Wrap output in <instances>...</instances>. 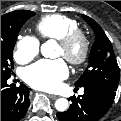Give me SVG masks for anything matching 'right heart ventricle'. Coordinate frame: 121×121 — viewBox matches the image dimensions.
<instances>
[{"mask_svg": "<svg viewBox=\"0 0 121 121\" xmlns=\"http://www.w3.org/2000/svg\"><path fill=\"white\" fill-rule=\"evenodd\" d=\"M77 29L79 24L75 19L60 14L47 15L36 24V30L42 37L54 40H59Z\"/></svg>", "mask_w": 121, "mask_h": 121, "instance_id": "1", "label": "right heart ventricle"}]
</instances>
